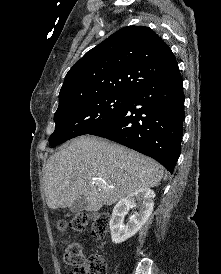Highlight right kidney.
I'll return each mask as SVG.
<instances>
[{
  "mask_svg": "<svg viewBox=\"0 0 221 274\" xmlns=\"http://www.w3.org/2000/svg\"><path fill=\"white\" fill-rule=\"evenodd\" d=\"M154 198V191L149 188H142L121 199L115 205L109 223L113 243L124 242L140 230L153 211ZM136 202L140 203L139 212L130 218L127 225H123L125 215L130 208L137 205Z\"/></svg>",
  "mask_w": 221,
  "mask_h": 274,
  "instance_id": "1",
  "label": "right kidney"
}]
</instances>
